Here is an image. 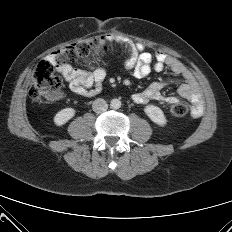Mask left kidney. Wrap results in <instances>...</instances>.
I'll use <instances>...</instances> for the list:
<instances>
[{
	"instance_id": "left-kidney-1",
	"label": "left kidney",
	"mask_w": 232,
	"mask_h": 232,
	"mask_svg": "<svg viewBox=\"0 0 232 232\" xmlns=\"http://www.w3.org/2000/svg\"><path fill=\"white\" fill-rule=\"evenodd\" d=\"M144 112L154 123L158 124L159 126L166 125V117L159 107L148 105L145 107Z\"/></svg>"
}]
</instances>
